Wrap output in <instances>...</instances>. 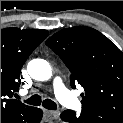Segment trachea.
Listing matches in <instances>:
<instances>
[{
	"mask_svg": "<svg viewBox=\"0 0 123 123\" xmlns=\"http://www.w3.org/2000/svg\"><path fill=\"white\" fill-rule=\"evenodd\" d=\"M24 102L27 104H30V105H34V106H39L42 104V106L44 108L49 109V110H56L57 109V105L54 101H52L50 99L42 100L41 96L37 95V94L26 99Z\"/></svg>",
	"mask_w": 123,
	"mask_h": 123,
	"instance_id": "3493384b",
	"label": "trachea"
}]
</instances>
